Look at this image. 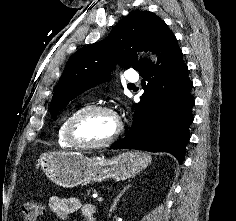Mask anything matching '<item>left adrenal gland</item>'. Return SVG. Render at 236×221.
<instances>
[{
	"mask_svg": "<svg viewBox=\"0 0 236 221\" xmlns=\"http://www.w3.org/2000/svg\"><path fill=\"white\" fill-rule=\"evenodd\" d=\"M131 187V184H128L126 186L123 187V189L119 192V194L116 196V198L114 199V202L110 208V212H113L116 210V206L117 203L119 202L121 196L126 192V190H128Z\"/></svg>",
	"mask_w": 236,
	"mask_h": 221,
	"instance_id": "a2214340",
	"label": "left adrenal gland"
}]
</instances>
